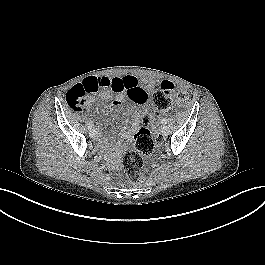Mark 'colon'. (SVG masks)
I'll list each match as a JSON object with an SVG mask.
<instances>
[{
  "label": "colon",
  "mask_w": 265,
  "mask_h": 265,
  "mask_svg": "<svg viewBox=\"0 0 265 265\" xmlns=\"http://www.w3.org/2000/svg\"><path fill=\"white\" fill-rule=\"evenodd\" d=\"M98 90V85L92 79L86 80L83 84L72 87L65 96L68 106L74 111L81 110L89 94ZM185 102L187 96L184 92H175L174 85L169 81H163L156 87L152 94V101L149 108L153 107L156 111L168 109L173 100ZM144 126L134 136V150L127 151L122 159L123 167L130 182L141 183L144 181L142 173V155L151 153L160 139L150 128L157 124L156 114L148 111L143 118Z\"/></svg>",
  "instance_id": "colon-1"
}]
</instances>
